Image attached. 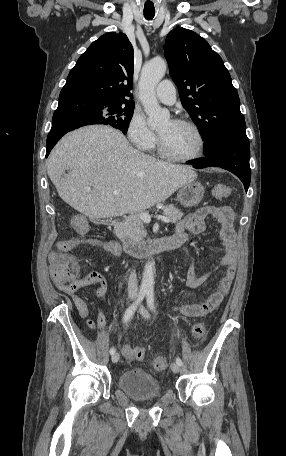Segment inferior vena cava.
<instances>
[{"label":"inferior vena cava","mask_w":286,"mask_h":456,"mask_svg":"<svg viewBox=\"0 0 286 456\" xmlns=\"http://www.w3.org/2000/svg\"><path fill=\"white\" fill-rule=\"evenodd\" d=\"M138 294V280H137V275L135 271H132L130 273L129 279H128V295L136 297Z\"/></svg>","instance_id":"inferior-vena-cava-1"}]
</instances>
